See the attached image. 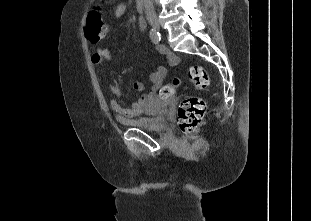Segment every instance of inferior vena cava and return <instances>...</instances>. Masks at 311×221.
Masks as SVG:
<instances>
[{"label":"inferior vena cava","mask_w":311,"mask_h":221,"mask_svg":"<svg viewBox=\"0 0 311 221\" xmlns=\"http://www.w3.org/2000/svg\"><path fill=\"white\" fill-rule=\"evenodd\" d=\"M144 6H145V14L146 16H149V14H153V16H156V12L154 10L153 6V0H143Z\"/></svg>","instance_id":"inferior-vena-cava-1"}]
</instances>
